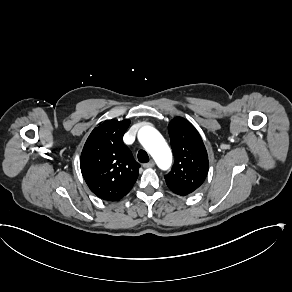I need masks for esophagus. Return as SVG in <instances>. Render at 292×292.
I'll return each instance as SVG.
<instances>
[{
	"label": "esophagus",
	"mask_w": 292,
	"mask_h": 292,
	"mask_svg": "<svg viewBox=\"0 0 292 292\" xmlns=\"http://www.w3.org/2000/svg\"><path fill=\"white\" fill-rule=\"evenodd\" d=\"M155 166V162L153 160H151L149 163H145L143 165L144 168H152Z\"/></svg>",
	"instance_id": "1"
}]
</instances>
